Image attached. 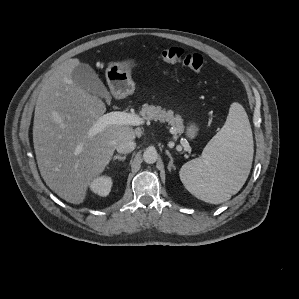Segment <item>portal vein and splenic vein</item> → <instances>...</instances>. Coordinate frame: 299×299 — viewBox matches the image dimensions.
<instances>
[{"instance_id": "portal-vein-and-splenic-vein-1", "label": "portal vein and splenic vein", "mask_w": 299, "mask_h": 299, "mask_svg": "<svg viewBox=\"0 0 299 299\" xmlns=\"http://www.w3.org/2000/svg\"><path fill=\"white\" fill-rule=\"evenodd\" d=\"M142 123V119L137 115L120 111H112L101 116L92 126L89 133L90 135H95L97 133L102 132L105 129V127L109 125L137 126ZM80 151L81 147L78 146L76 148V152L79 153Z\"/></svg>"}]
</instances>
